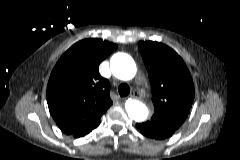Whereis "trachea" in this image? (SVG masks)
Returning a JSON list of instances; mask_svg holds the SVG:
<instances>
[{"label":"trachea","instance_id":"3493384b","mask_svg":"<svg viewBox=\"0 0 240 160\" xmlns=\"http://www.w3.org/2000/svg\"><path fill=\"white\" fill-rule=\"evenodd\" d=\"M118 92H119L121 97H125V96L129 95L130 87L127 84H121L118 87Z\"/></svg>","mask_w":240,"mask_h":160}]
</instances>
